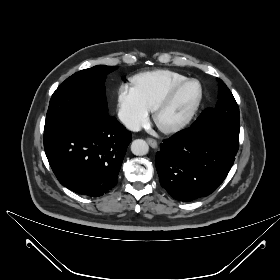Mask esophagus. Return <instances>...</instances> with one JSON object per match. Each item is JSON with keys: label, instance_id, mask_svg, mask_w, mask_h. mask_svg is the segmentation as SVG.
<instances>
[{"label": "esophagus", "instance_id": "esophagus-1", "mask_svg": "<svg viewBox=\"0 0 280 280\" xmlns=\"http://www.w3.org/2000/svg\"><path fill=\"white\" fill-rule=\"evenodd\" d=\"M146 141L148 142V144L152 147V148H156L157 147V141L153 138H147Z\"/></svg>", "mask_w": 280, "mask_h": 280}]
</instances>
